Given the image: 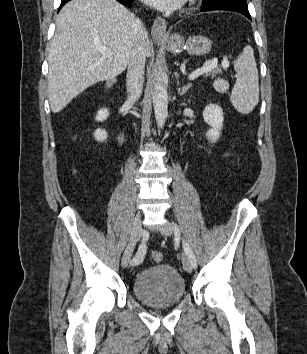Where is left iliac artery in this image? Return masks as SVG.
Returning <instances> with one entry per match:
<instances>
[{"label": "left iliac artery", "instance_id": "44dca946", "mask_svg": "<svg viewBox=\"0 0 307 354\" xmlns=\"http://www.w3.org/2000/svg\"><path fill=\"white\" fill-rule=\"evenodd\" d=\"M173 226L175 229V233H180L179 227L176 224H173ZM183 248H184L185 253L189 257L192 268L196 269L197 268V260L195 258V255H194L192 249L190 248L189 244L185 240H183Z\"/></svg>", "mask_w": 307, "mask_h": 354}]
</instances>
